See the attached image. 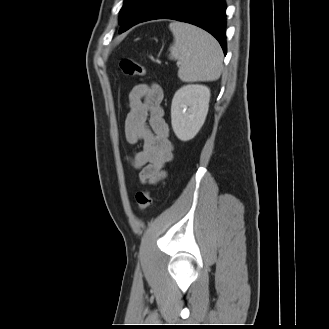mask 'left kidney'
I'll list each match as a JSON object with an SVG mask.
<instances>
[{"label": "left kidney", "mask_w": 329, "mask_h": 329, "mask_svg": "<svg viewBox=\"0 0 329 329\" xmlns=\"http://www.w3.org/2000/svg\"><path fill=\"white\" fill-rule=\"evenodd\" d=\"M210 89L189 84L175 93L171 106L173 131L181 141L193 139L203 126L209 108Z\"/></svg>", "instance_id": "5707ae66"}]
</instances>
